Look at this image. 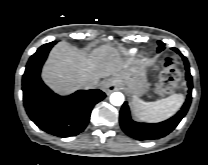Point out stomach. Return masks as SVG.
Wrapping results in <instances>:
<instances>
[{"instance_id": "stomach-1", "label": "stomach", "mask_w": 208, "mask_h": 165, "mask_svg": "<svg viewBox=\"0 0 208 165\" xmlns=\"http://www.w3.org/2000/svg\"><path fill=\"white\" fill-rule=\"evenodd\" d=\"M113 81L120 86H126L135 96L143 95L149 88L146 76V66L138 62L129 69L113 78Z\"/></svg>"}]
</instances>
